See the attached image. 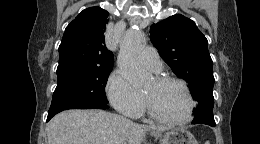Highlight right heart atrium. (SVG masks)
<instances>
[{
    "instance_id": "d8ad5b80",
    "label": "right heart atrium",
    "mask_w": 260,
    "mask_h": 144,
    "mask_svg": "<svg viewBox=\"0 0 260 144\" xmlns=\"http://www.w3.org/2000/svg\"><path fill=\"white\" fill-rule=\"evenodd\" d=\"M105 90L110 104L118 112L127 116H137L141 113L143 97L119 69L109 75Z\"/></svg>"
}]
</instances>
